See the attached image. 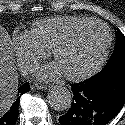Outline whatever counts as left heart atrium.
Masks as SVG:
<instances>
[{
    "label": "left heart atrium",
    "mask_w": 125,
    "mask_h": 125,
    "mask_svg": "<svg viewBox=\"0 0 125 125\" xmlns=\"http://www.w3.org/2000/svg\"><path fill=\"white\" fill-rule=\"evenodd\" d=\"M62 74H64V72L57 62L45 65L41 67L37 72V76L40 79H55L57 77H60Z\"/></svg>",
    "instance_id": "obj_1"
}]
</instances>
